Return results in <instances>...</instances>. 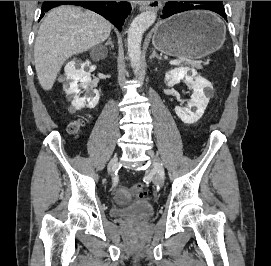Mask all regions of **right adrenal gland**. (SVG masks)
I'll use <instances>...</instances> for the list:
<instances>
[{
  "instance_id": "obj_1",
  "label": "right adrenal gland",
  "mask_w": 271,
  "mask_h": 266,
  "mask_svg": "<svg viewBox=\"0 0 271 266\" xmlns=\"http://www.w3.org/2000/svg\"><path fill=\"white\" fill-rule=\"evenodd\" d=\"M108 45H110L112 48H114V45H113V43L111 41V37H109L108 41L105 43V46H108Z\"/></svg>"
}]
</instances>
